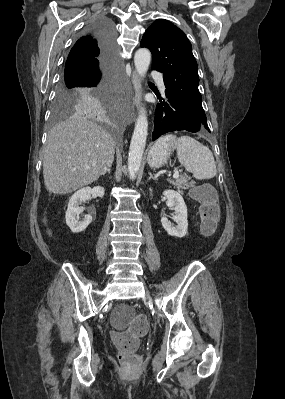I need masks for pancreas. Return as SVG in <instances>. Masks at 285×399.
<instances>
[{
    "label": "pancreas",
    "mask_w": 285,
    "mask_h": 399,
    "mask_svg": "<svg viewBox=\"0 0 285 399\" xmlns=\"http://www.w3.org/2000/svg\"><path fill=\"white\" fill-rule=\"evenodd\" d=\"M170 183L176 187L179 192H182V189H187L192 186V183L186 178H178L174 181H170Z\"/></svg>",
    "instance_id": "obj_1"
}]
</instances>
